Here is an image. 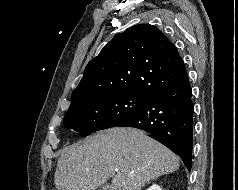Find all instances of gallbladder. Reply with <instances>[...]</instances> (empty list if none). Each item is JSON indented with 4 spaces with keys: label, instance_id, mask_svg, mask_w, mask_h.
<instances>
[{
    "label": "gallbladder",
    "instance_id": "bac80fb5",
    "mask_svg": "<svg viewBox=\"0 0 238 190\" xmlns=\"http://www.w3.org/2000/svg\"><path fill=\"white\" fill-rule=\"evenodd\" d=\"M99 190H109V185L105 183L99 188Z\"/></svg>",
    "mask_w": 238,
    "mask_h": 190
}]
</instances>
